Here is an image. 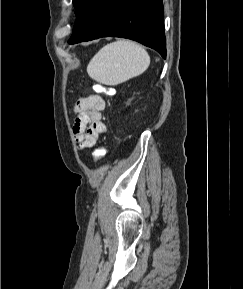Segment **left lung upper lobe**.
Listing matches in <instances>:
<instances>
[{"label":"left lung upper lobe","mask_w":243,"mask_h":289,"mask_svg":"<svg viewBox=\"0 0 243 289\" xmlns=\"http://www.w3.org/2000/svg\"><path fill=\"white\" fill-rule=\"evenodd\" d=\"M89 0H73V5L75 7V13L78 16L84 7L87 5Z\"/></svg>","instance_id":"left-lung-upper-lobe-1"}]
</instances>
